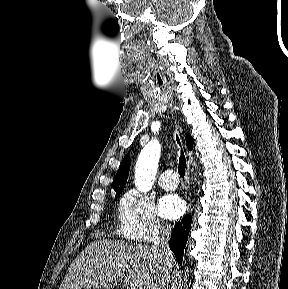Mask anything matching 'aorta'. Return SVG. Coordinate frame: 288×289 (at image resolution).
<instances>
[{
  "label": "aorta",
  "instance_id": "aorta-1",
  "mask_svg": "<svg viewBox=\"0 0 288 289\" xmlns=\"http://www.w3.org/2000/svg\"><path fill=\"white\" fill-rule=\"evenodd\" d=\"M160 144L149 142L141 151L135 167V185L141 192H148L155 180L160 157Z\"/></svg>",
  "mask_w": 288,
  "mask_h": 289
}]
</instances>
